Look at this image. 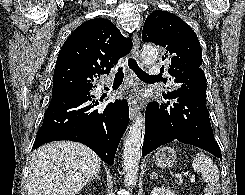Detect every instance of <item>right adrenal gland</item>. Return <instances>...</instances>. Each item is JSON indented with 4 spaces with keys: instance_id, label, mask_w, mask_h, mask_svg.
<instances>
[{
    "instance_id": "1",
    "label": "right adrenal gland",
    "mask_w": 245,
    "mask_h": 195,
    "mask_svg": "<svg viewBox=\"0 0 245 195\" xmlns=\"http://www.w3.org/2000/svg\"><path fill=\"white\" fill-rule=\"evenodd\" d=\"M94 179L101 180L100 172H97V173L91 178L92 181H93Z\"/></svg>"
}]
</instances>
